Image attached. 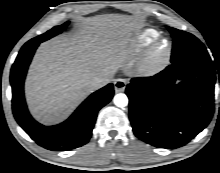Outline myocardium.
Wrapping results in <instances>:
<instances>
[{"instance_id":"f54148a6","label":"myocardium","mask_w":220,"mask_h":173,"mask_svg":"<svg viewBox=\"0 0 220 173\" xmlns=\"http://www.w3.org/2000/svg\"><path fill=\"white\" fill-rule=\"evenodd\" d=\"M172 44L167 38H157L143 49L138 69L141 73L152 75L163 69L169 62Z\"/></svg>"}]
</instances>
